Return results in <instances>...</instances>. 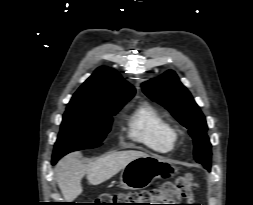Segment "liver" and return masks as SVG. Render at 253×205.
<instances>
[{"mask_svg": "<svg viewBox=\"0 0 253 205\" xmlns=\"http://www.w3.org/2000/svg\"><path fill=\"white\" fill-rule=\"evenodd\" d=\"M147 156L136 150L113 152L94 162L83 164L76 153L63 157L55 167L58 186L66 202H72L83 191L81 180L87 175L92 185H98L110 179L135 158Z\"/></svg>", "mask_w": 253, "mask_h": 205, "instance_id": "liver-1", "label": "liver"}]
</instances>
